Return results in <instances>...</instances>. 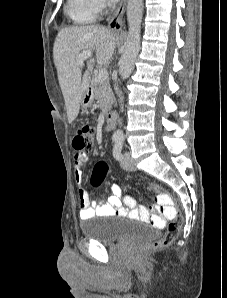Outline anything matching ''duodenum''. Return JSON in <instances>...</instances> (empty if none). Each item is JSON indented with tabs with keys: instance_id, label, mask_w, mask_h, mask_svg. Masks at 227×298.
Masks as SVG:
<instances>
[{
	"instance_id": "obj_1",
	"label": "duodenum",
	"mask_w": 227,
	"mask_h": 298,
	"mask_svg": "<svg viewBox=\"0 0 227 298\" xmlns=\"http://www.w3.org/2000/svg\"><path fill=\"white\" fill-rule=\"evenodd\" d=\"M87 95H91V88H88L86 91ZM117 119V114L115 111H109L106 115V124L108 129H112L115 126Z\"/></svg>"
}]
</instances>
